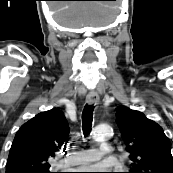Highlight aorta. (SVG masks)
Listing matches in <instances>:
<instances>
[{
  "label": "aorta",
  "instance_id": "1",
  "mask_svg": "<svg viewBox=\"0 0 173 173\" xmlns=\"http://www.w3.org/2000/svg\"><path fill=\"white\" fill-rule=\"evenodd\" d=\"M112 128L109 125L103 124L94 128L93 130V138L95 140H103L112 135Z\"/></svg>",
  "mask_w": 173,
  "mask_h": 173
}]
</instances>
